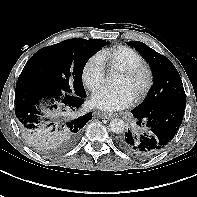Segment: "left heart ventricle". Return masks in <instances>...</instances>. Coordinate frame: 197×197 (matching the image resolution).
Returning <instances> with one entry per match:
<instances>
[{
  "label": "left heart ventricle",
  "mask_w": 197,
  "mask_h": 197,
  "mask_svg": "<svg viewBox=\"0 0 197 197\" xmlns=\"http://www.w3.org/2000/svg\"><path fill=\"white\" fill-rule=\"evenodd\" d=\"M141 83H142V80L131 81L124 75H121L118 86L127 87L135 96Z\"/></svg>",
  "instance_id": "b2bd125f"
}]
</instances>
